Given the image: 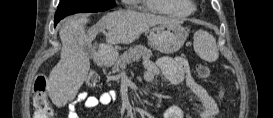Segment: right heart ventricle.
<instances>
[{"label":"right heart ventricle","mask_w":273,"mask_h":118,"mask_svg":"<svg viewBox=\"0 0 273 118\" xmlns=\"http://www.w3.org/2000/svg\"><path fill=\"white\" fill-rule=\"evenodd\" d=\"M150 8L158 13L169 14L173 16H187L193 8L185 0H150Z\"/></svg>","instance_id":"obj_1"}]
</instances>
